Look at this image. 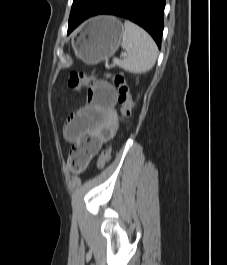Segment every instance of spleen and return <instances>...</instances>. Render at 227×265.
Listing matches in <instances>:
<instances>
[{
	"instance_id": "3e777b00",
	"label": "spleen",
	"mask_w": 227,
	"mask_h": 265,
	"mask_svg": "<svg viewBox=\"0 0 227 265\" xmlns=\"http://www.w3.org/2000/svg\"><path fill=\"white\" fill-rule=\"evenodd\" d=\"M121 47L126 50L124 59L114 58L113 63L131 73H145L156 62L158 48L152 37L141 27L125 21Z\"/></svg>"
}]
</instances>
